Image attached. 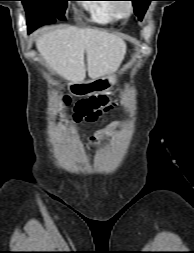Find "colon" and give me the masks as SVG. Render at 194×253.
I'll return each mask as SVG.
<instances>
[{
	"label": "colon",
	"mask_w": 194,
	"mask_h": 253,
	"mask_svg": "<svg viewBox=\"0 0 194 253\" xmlns=\"http://www.w3.org/2000/svg\"><path fill=\"white\" fill-rule=\"evenodd\" d=\"M114 102L107 95H96L79 100L74 107L73 118L79 122H94L102 114L111 110Z\"/></svg>",
	"instance_id": "colon-1"
}]
</instances>
